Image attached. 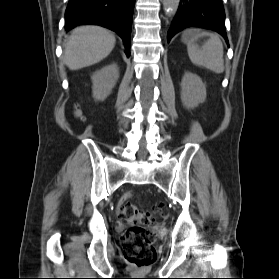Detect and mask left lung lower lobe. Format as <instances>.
Segmentation results:
<instances>
[{
  "label": "left lung lower lobe",
  "instance_id": "obj_1",
  "mask_svg": "<svg viewBox=\"0 0 279 279\" xmlns=\"http://www.w3.org/2000/svg\"><path fill=\"white\" fill-rule=\"evenodd\" d=\"M188 27L214 30L227 41L222 0H180L178 11L167 34L168 42L176 33Z\"/></svg>",
  "mask_w": 279,
  "mask_h": 279
}]
</instances>
